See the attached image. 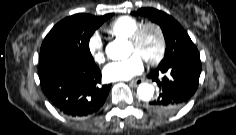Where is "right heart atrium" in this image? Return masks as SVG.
<instances>
[{
    "label": "right heart atrium",
    "mask_w": 236,
    "mask_h": 135,
    "mask_svg": "<svg viewBox=\"0 0 236 135\" xmlns=\"http://www.w3.org/2000/svg\"><path fill=\"white\" fill-rule=\"evenodd\" d=\"M88 50L97 63H102L106 56L105 41L98 32L91 34L88 39Z\"/></svg>",
    "instance_id": "1"
}]
</instances>
